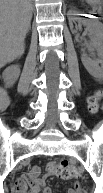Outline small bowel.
I'll return each instance as SVG.
<instances>
[{
    "instance_id": "obj_1",
    "label": "small bowel",
    "mask_w": 103,
    "mask_h": 193,
    "mask_svg": "<svg viewBox=\"0 0 103 193\" xmlns=\"http://www.w3.org/2000/svg\"><path fill=\"white\" fill-rule=\"evenodd\" d=\"M40 173V167L34 165L21 179L14 182L15 193H27V184L30 187L29 193H51L50 188L46 186L45 178L40 176ZM67 193H85V191L81 185L75 183L67 189Z\"/></svg>"
}]
</instances>
